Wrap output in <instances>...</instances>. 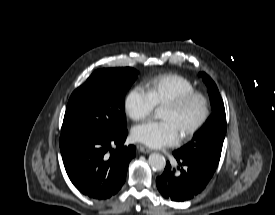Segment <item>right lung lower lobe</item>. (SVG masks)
<instances>
[{
	"instance_id": "obj_1",
	"label": "right lung lower lobe",
	"mask_w": 275,
	"mask_h": 215,
	"mask_svg": "<svg viewBox=\"0 0 275 215\" xmlns=\"http://www.w3.org/2000/svg\"><path fill=\"white\" fill-rule=\"evenodd\" d=\"M127 134L125 129L106 136L72 134L60 137L66 172L80 192L91 198L107 199L120 190L136 151L133 145L123 146Z\"/></svg>"
}]
</instances>
